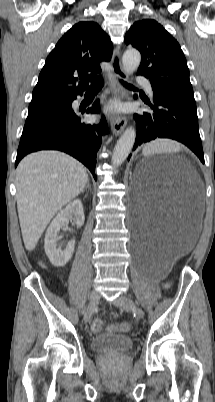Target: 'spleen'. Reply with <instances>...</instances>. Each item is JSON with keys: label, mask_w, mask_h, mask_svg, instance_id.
Returning <instances> with one entry per match:
<instances>
[{"label": "spleen", "mask_w": 215, "mask_h": 402, "mask_svg": "<svg viewBox=\"0 0 215 402\" xmlns=\"http://www.w3.org/2000/svg\"><path fill=\"white\" fill-rule=\"evenodd\" d=\"M173 145L169 141H155L146 146L143 150L144 154L154 153V152H164L171 151Z\"/></svg>", "instance_id": "3e777b00"}]
</instances>
